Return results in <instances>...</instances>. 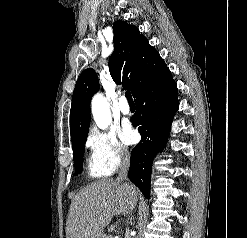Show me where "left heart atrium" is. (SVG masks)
<instances>
[{
	"label": "left heart atrium",
	"mask_w": 247,
	"mask_h": 238,
	"mask_svg": "<svg viewBox=\"0 0 247 238\" xmlns=\"http://www.w3.org/2000/svg\"><path fill=\"white\" fill-rule=\"evenodd\" d=\"M121 138L125 143L131 144L136 140V133L129 125H125L121 131Z\"/></svg>",
	"instance_id": "obj_1"
}]
</instances>
